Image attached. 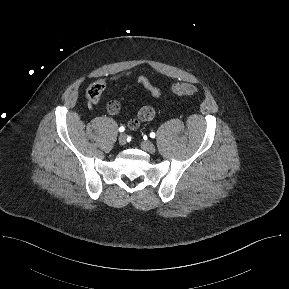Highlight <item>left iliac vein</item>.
I'll use <instances>...</instances> for the list:
<instances>
[{
	"mask_svg": "<svg viewBox=\"0 0 289 289\" xmlns=\"http://www.w3.org/2000/svg\"><path fill=\"white\" fill-rule=\"evenodd\" d=\"M141 147H142V149H144L145 151H147L151 154L154 153L156 150L154 144L149 142V141H143L141 143Z\"/></svg>",
	"mask_w": 289,
	"mask_h": 289,
	"instance_id": "4c4485c4",
	"label": "left iliac vein"
}]
</instances>
